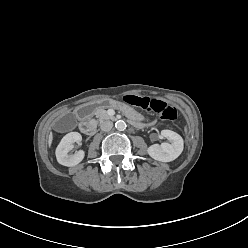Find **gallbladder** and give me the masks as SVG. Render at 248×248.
Returning a JSON list of instances; mask_svg holds the SVG:
<instances>
[{
    "mask_svg": "<svg viewBox=\"0 0 248 248\" xmlns=\"http://www.w3.org/2000/svg\"><path fill=\"white\" fill-rule=\"evenodd\" d=\"M74 124H75V118L73 117V118L70 120V124H69V126H68L67 128H65V127H66V126H65V120H62V121H60V122L57 123L56 129H57V130H62V129H64V128H65V129H68V128L73 127Z\"/></svg>",
    "mask_w": 248,
    "mask_h": 248,
    "instance_id": "1",
    "label": "gallbladder"
}]
</instances>
